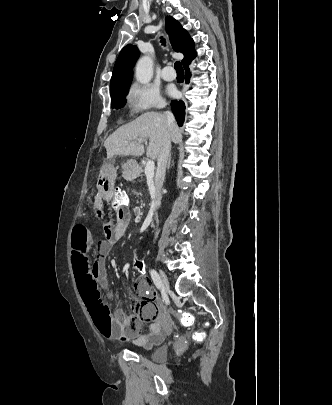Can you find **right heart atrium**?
<instances>
[{
    "mask_svg": "<svg viewBox=\"0 0 332 405\" xmlns=\"http://www.w3.org/2000/svg\"><path fill=\"white\" fill-rule=\"evenodd\" d=\"M131 110L142 114L165 106V100L159 90L150 85L133 84L128 93Z\"/></svg>",
    "mask_w": 332,
    "mask_h": 405,
    "instance_id": "d8ad5b80",
    "label": "right heart atrium"
}]
</instances>
